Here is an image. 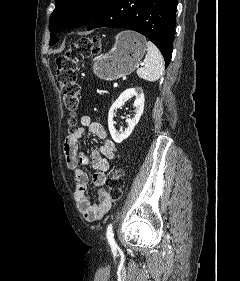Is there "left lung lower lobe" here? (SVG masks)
<instances>
[{
  "instance_id": "1",
  "label": "left lung lower lobe",
  "mask_w": 240,
  "mask_h": 281,
  "mask_svg": "<svg viewBox=\"0 0 240 281\" xmlns=\"http://www.w3.org/2000/svg\"><path fill=\"white\" fill-rule=\"evenodd\" d=\"M178 0H108L88 30L98 27L125 28L139 32L161 51L170 63Z\"/></svg>"
}]
</instances>
